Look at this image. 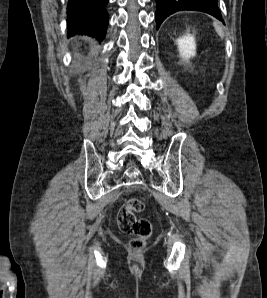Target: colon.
Listing matches in <instances>:
<instances>
[{
	"label": "colon",
	"instance_id": "1",
	"mask_svg": "<svg viewBox=\"0 0 267 298\" xmlns=\"http://www.w3.org/2000/svg\"><path fill=\"white\" fill-rule=\"evenodd\" d=\"M143 210L144 203L134 197L126 200L117 214L118 227L123 233L132 236L130 246L134 250L144 247L152 231L149 220L138 216Z\"/></svg>",
	"mask_w": 267,
	"mask_h": 298
}]
</instances>
